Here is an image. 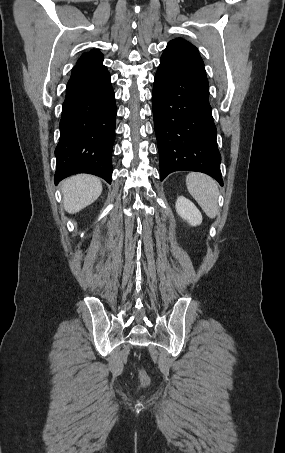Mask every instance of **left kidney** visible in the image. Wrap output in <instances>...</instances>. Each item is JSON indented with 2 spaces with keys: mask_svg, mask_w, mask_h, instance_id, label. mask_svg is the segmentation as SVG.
<instances>
[{
  "mask_svg": "<svg viewBox=\"0 0 285 453\" xmlns=\"http://www.w3.org/2000/svg\"><path fill=\"white\" fill-rule=\"evenodd\" d=\"M176 211L178 215L187 221L191 226H197L202 223V215L197 207L184 196H179L176 201Z\"/></svg>",
  "mask_w": 285,
  "mask_h": 453,
  "instance_id": "5707ae66",
  "label": "left kidney"
}]
</instances>
